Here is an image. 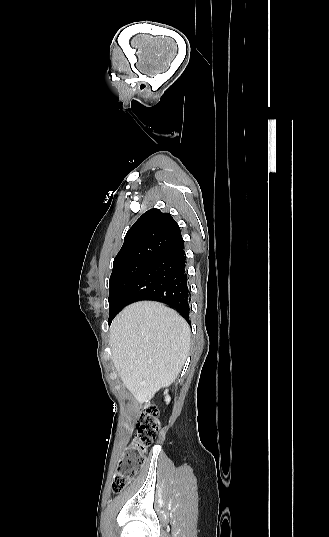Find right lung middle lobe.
<instances>
[{"label":"right lung middle lobe","mask_w":329,"mask_h":537,"mask_svg":"<svg viewBox=\"0 0 329 537\" xmlns=\"http://www.w3.org/2000/svg\"><path fill=\"white\" fill-rule=\"evenodd\" d=\"M151 263L147 260L132 261L113 270L109 280V320H112L121 308L124 293L140 273Z\"/></svg>","instance_id":"obj_1"}]
</instances>
